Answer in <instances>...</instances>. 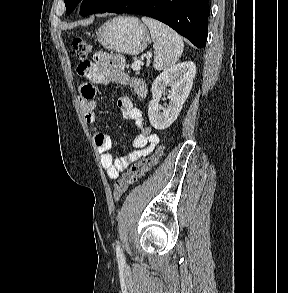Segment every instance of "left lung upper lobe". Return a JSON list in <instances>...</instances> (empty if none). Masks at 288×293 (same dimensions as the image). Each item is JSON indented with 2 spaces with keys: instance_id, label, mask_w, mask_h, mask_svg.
Returning <instances> with one entry per match:
<instances>
[{
  "instance_id": "5c2ea615",
  "label": "left lung upper lobe",
  "mask_w": 288,
  "mask_h": 293,
  "mask_svg": "<svg viewBox=\"0 0 288 293\" xmlns=\"http://www.w3.org/2000/svg\"><path fill=\"white\" fill-rule=\"evenodd\" d=\"M81 1L82 4L80 13L82 16H86L94 13H100L108 6L119 0H64L67 14L72 13Z\"/></svg>"
}]
</instances>
